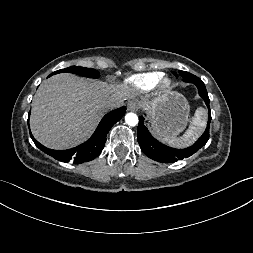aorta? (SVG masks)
<instances>
[{
    "instance_id": "1",
    "label": "aorta",
    "mask_w": 253,
    "mask_h": 253,
    "mask_svg": "<svg viewBox=\"0 0 253 253\" xmlns=\"http://www.w3.org/2000/svg\"><path fill=\"white\" fill-rule=\"evenodd\" d=\"M125 122L129 126H135L138 124V116L135 113H127L125 116Z\"/></svg>"
}]
</instances>
